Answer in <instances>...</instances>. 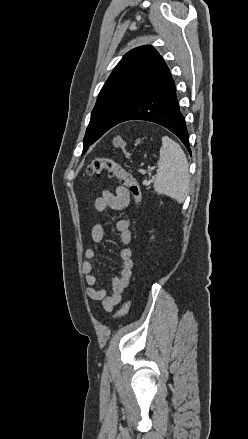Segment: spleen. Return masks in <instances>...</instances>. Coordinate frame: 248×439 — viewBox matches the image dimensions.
<instances>
[{
    "instance_id": "obj_1",
    "label": "spleen",
    "mask_w": 248,
    "mask_h": 439,
    "mask_svg": "<svg viewBox=\"0 0 248 439\" xmlns=\"http://www.w3.org/2000/svg\"><path fill=\"white\" fill-rule=\"evenodd\" d=\"M189 185L188 161L184 151L178 143L164 136L154 182L155 192L182 203L188 196Z\"/></svg>"
}]
</instances>
